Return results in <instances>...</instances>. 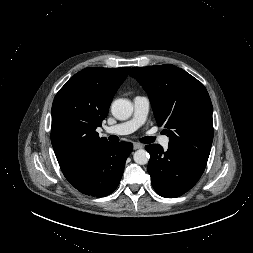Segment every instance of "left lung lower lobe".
Returning <instances> with one entry per match:
<instances>
[{"label":"left lung lower lobe","instance_id":"left-lung-lower-lobe-1","mask_svg":"<svg viewBox=\"0 0 253 253\" xmlns=\"http://www.w3.org/2000/svg\"><path fill=\"white\" fill-rule=\"evenodd\" d=\"M150 153L147 170L155 191L162 197L175 198L189 191L200 179L207 162L192 155L158 144L146 145Z\"/></svg>","mask_w":253,"mask_h":253}]
</instances>
